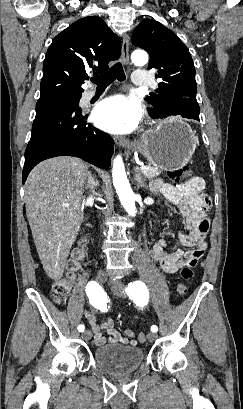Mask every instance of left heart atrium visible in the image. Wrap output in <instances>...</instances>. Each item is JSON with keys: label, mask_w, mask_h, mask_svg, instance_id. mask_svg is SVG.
<instances>
[{"label": "left heart atrium", "mask_w": 243, "mask_h": 409, "mask_svg": "<svg viewBox=\"0 0 243 409\" xmlns=\"http://www.w3.org/2000/svg\"><path fill=\"white\" fill-rule=\"evenodd\" d=\"M142 117L140 103L124 95H115L101 101L94 110L93 120L104 131L124 134L133 131Z\"/></svg>", "instance_id": "obj_1"}]
</instances>
